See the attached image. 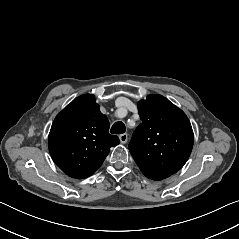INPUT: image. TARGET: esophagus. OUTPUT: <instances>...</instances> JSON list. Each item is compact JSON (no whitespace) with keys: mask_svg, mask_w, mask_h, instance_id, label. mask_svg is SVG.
<instances>
[{"mask_svg":"<svg viewBox=\"0 0 239 239\" xmlns=\"http://www.w3.org/2000/svg\"><path fill=\"white\" fill-rule=\"evenodd\" d=\"M119 139H120V142L124 144L128 140V135L126 133L125 134L123 133V134L119 135Z\"/></svg>","mask_w":239,"mask_h":239,"instance_id":"1","label":"esophagus"}]
</instances>
